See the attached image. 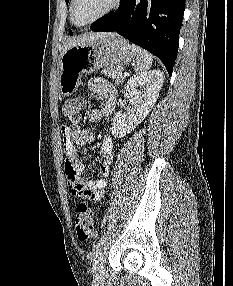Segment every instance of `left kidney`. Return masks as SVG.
I'll list each match as a JSON object with an SVG mask.
<instances>
[{"label": "left kidney", "mask_w": 233, "mask_h": 286, "mask_svg": "<svg viewBox=\"0 0 233 286\" xmlns=\"http://www.w3.org/2000/svg\"><path fill=\"white\" fill-rule=\"evenodd\" d=\"M163 81L164 74L160 70L139 73L127 81L125 89L131 106L125 113H115L111 127L115 138L126 136L145 119L157 101Z\"/></svg>", "instance_id": "5707ae66"}]
</instances>
